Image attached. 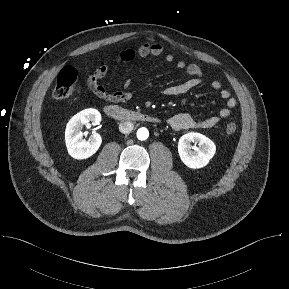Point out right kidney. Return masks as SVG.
<instances>
[{
	"instance_id": "ca27d5eb",
	"label": "right kidney",
	"mask_w": 289,
	"mask_h": 289,
	"mask_svg": "<svg viewBox=\"0 0 289 289\" xmlns=\"http://www.w3.org/2000/svg\"><path fill=\"white\" fill-rule=\"evenodd\" d=\"M101 121V114L96 109H85L74 115L67 123L65 130V142L68 153L74 159H87L94 155L100 148L102 138L98 133L85 139L83 137V126L97 125Z\"/></svg>"
}]
</instances>
